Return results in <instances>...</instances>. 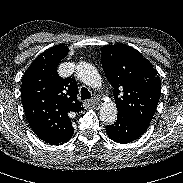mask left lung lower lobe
I'll list each match as a JSON object with an SVG mask.
<instances>
[{"instance_id": "left-lung-lower-lobe-1", "label": "left lung lower lobe", "mask_w": 183, "mask_h": 183, "mask_svg": "<svg viewBox=\"0 0 183 183\" xmlns=\"http://www.w3.org/2000/svg\"><path fill=\"white\" fill-rule=\"evenodd\" d=\"M148 125L144 121L118 115L116 122L107 126L106 131L113 141L125 144L141 137Z\"/></svg>"}]
</instances>
